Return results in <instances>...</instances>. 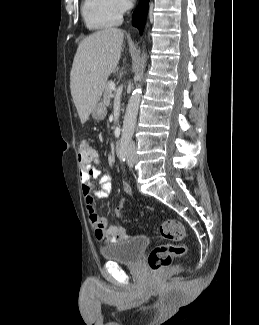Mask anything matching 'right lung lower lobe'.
<instances>
[{
  "label": "right lung lower lobe",
  "instance_id": "right-lung-lower-lobe-1",
  "mask_svg": "<svg viewBox=\"0 0 259 325\" xmlns=\"http://www.w3.org/2000/svg\"><path fill=\"white\" fill-rule=\"evenodd\" d=\"M148 5H149V0H142L133 13V17H132L133 25L140 30V33L143 32L147 11H148Z\"/></svg>",
  "mask_w": 259,
  "mask_h": 325
}]
</instances>
